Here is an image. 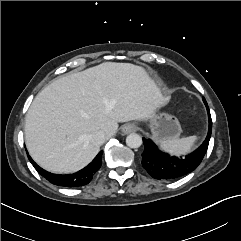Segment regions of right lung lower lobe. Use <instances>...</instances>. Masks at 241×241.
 Returning <instances> with one entry per match:
<instances>
[{
	"mask_svg": "<svg viewBox=\"0 0 241 241\" xmlns=\"http://www.w3.org/2000/svg\"><path fill=\"white\" fill-rule=\"evenodd\" d=\"M102 153L103 151H100L98 155L94 158V160L84 169L70 175L51 174L40 168L37 164H35V162L31 159L29 155L28 158L30 162L33 163L38 173L45 177L51 183L57 186L79 187L88 184L93 178L94 174L99 170L102 162Z\"/></svg>",
	"mask_w": 241,
	"mask_h": 241,
	"instance_id": "right-lung-lower-lobe-1",
	"label": "right lung lower lobe"
}]
</instances>
